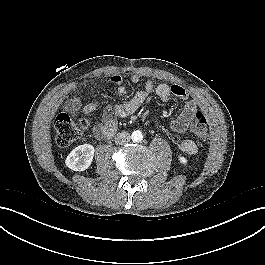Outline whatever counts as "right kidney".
<instances>
[{"instance_id": "ca27d5eb", "label": "right kidney", "mask_w": 265, "mask_h": 265, "mask_svg": "<svg viewBox=\"0 0 265 265\" xmlns=\"http://www.w3.org/2000/svg\"><path fill=\"white\" fill-rule=\"evenodd\" d=\"M95 149L91 144H83L73 149L65 160L66 166L73 171H84L92 163Z\"/></svg>"}]
</instances>
